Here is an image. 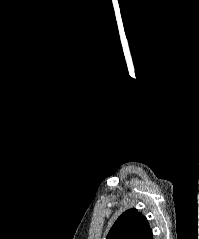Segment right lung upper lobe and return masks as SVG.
<instances>
[{"label":"right lung upper lobe","mask_w":199,"mask_h":239,"mask_svg":"<svg viewBox=\"0 0 199 239\" xmlns=\"http://www.w3.org/2000/svg\"><path fill=\"white\" fill-rule=\"evenodd\" d=\"M150 232L146 217L133 208L119 216L106 239H144Z\"/></svg>","instance_id":"right-lung-upper-lobe-1"}]
</instances>
